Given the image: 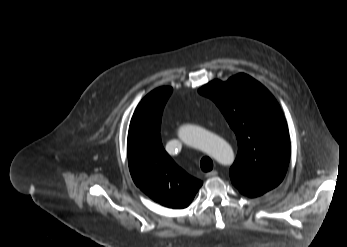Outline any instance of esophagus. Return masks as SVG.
I'll use <instances>...</instances> for the list:
<instances>
[{
  "label": "esophagus",
  "mask_w": 347,
  "mask_h": 247,
  "mask_svg": "<svg viewBox=\"0 0 347 247\" xmlns=\"http://www.w3.org/2000/svg\"><path fill=\"white\" fill-rule=\"evenodd\" d=\"M218 175V172L216 170H212L208 173H206V177H214V176H217Z\"/></svg>",
  "instance_id": "obj_1"
}]
</instances>
